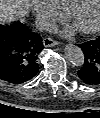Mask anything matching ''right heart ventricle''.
<instances>
[{
    "mask_svg": "<svg viewBox=\"0 0 100 118\" xmlns=\"http://www.w3.org/2000/svg\"><path fill=\"white\" fill-rule=\"evenodd\" d=\"M78 0H53L55 5L62 12H66Z\"/></svg>",
    "mask_w": 100,
    "mask_h": 118,
    "instance_id": "right-heart-ventricle-1",
    "label": "right heart ventricle"
}]
</instances>
